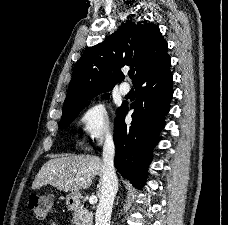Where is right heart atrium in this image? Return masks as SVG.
Wrapping results in <instances>:
<instances>
[{"instance_id": "1", "label": "right heart atrium", "mask_w": 228, "mask_h": 225, "mask_svg": "<svg viewBox=\"0 0 228 225\" xmlns=\"http://www.w3.org/2000/svg\"><path fill=\"white\" fill-rule=\"evenodd\" d=\"M83 136L87 142L100 144L112 137L109 112L100 102L93 103L82 110L79 116Z\"/></svg>"}]
</instances>
